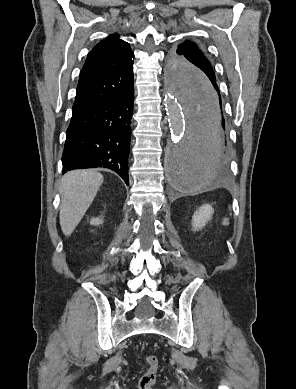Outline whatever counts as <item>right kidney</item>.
<instances>
[{"label":"right kidney","mask_w":296,"mask_h":389,"mask_svg":"<svg viewBox=\"0 0 296 389\" xmlns=\"http://www.w3.org/2000/svg\"><path fill=\"white\" fill-rule=\"evenodd\" d=\"M103 223V219L102 218H92L91 221H90V224L91 225H95V226H98L100 224Z\"/></svg>","instance_id":"right-kidney-1"}]
</instances>
